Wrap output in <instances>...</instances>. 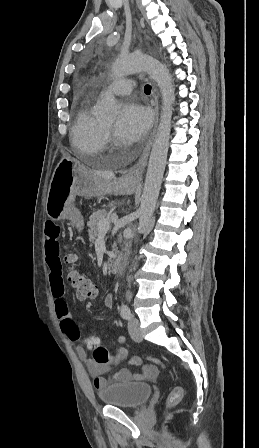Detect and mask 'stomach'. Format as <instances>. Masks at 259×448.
Segmentation results:
<instances>
[{"instance_id":"stomach-1","label":"stomach","mask_w":259,"mask_h":448,"mask_svg":"<svg viewBox=\"0 0 259 448\" xmlns=\"http://www.w3.org/2000/svg\"><path fill=\"white\" fill-rule=\"evenodd\" d=\"M76 162L70 156H63L57 164L46 200V214L51 220L75 221L79 230H83L85 213L78 212L77 206H68L73 202L75 192L74 166Z\"/></svg>"}]
</instances>
